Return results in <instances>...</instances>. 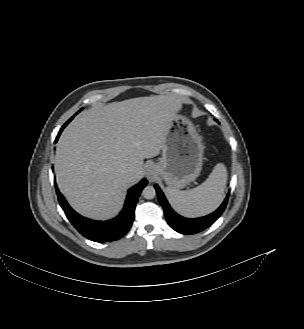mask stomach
Instances as JSON below:
<instances>
[{
  "instance_id": "obj_1",
  "label": "stomach",
  "mask_w": 304,
  "mask_h": 329,
  "mask_svg": "<svg viewBox=\"0 0 304 329\" xmlns=\"http://www.w3.org/2000/svg\"><path fill=\"white\" fill-rule=\"evenodd\" d=\"M203 153L202 139L192 122L175 114L167 129L162 157L153 168L169 187L181 189L200 175Z\"/></svg>"
}]
</instances>
